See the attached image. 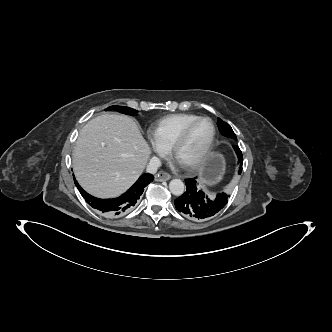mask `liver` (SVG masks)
<instances>
[{"instance_id": "liver-1", "label": "liver", "mask_w": 332, "mask_h": 332, "mask_svg": "<svg viewBox=\"0 0 332 332\" xmlns=\"http://www.w3.org/2000/svg\"><path fill=\"white\" fill-rule=\"evenodd\" d=\"M150 148L136 123L121 114H103L80 131L73 152L79 184L91 195L115 198L143 172Z\"/></svg>"}]
</instances>
